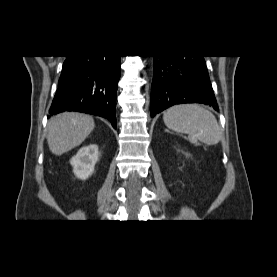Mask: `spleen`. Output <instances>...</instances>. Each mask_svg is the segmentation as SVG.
Here are the masks:
<instances>
[{"label": "spleen", "instance_id": "spleen-1", "mask_svg": "<svg viewBox=\"0 0 277 277\" xmlns=\"http://www.w3.org/2000/svg\"><path fill=\"white\" fill-rule=\"evenodd\" d=\"M163 120L169 129L188 134L191 141L214 145L221 139L215 116L196 104L173 106L164 112Z\"/></svg>", "mask_w": 277, "mask_h": 277}]
</instances>
